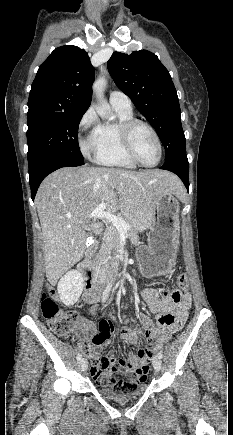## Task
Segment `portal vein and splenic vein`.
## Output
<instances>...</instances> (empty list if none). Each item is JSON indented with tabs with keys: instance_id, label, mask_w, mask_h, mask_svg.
I'll list each match as a JSON object with an SVG mask.
<instances>
[{
	"instance_id": "portal-vein-and-splenic-vein-1",
	"label": "portal vein and splenic vein",
	"mask_w": 233,
	"mask_h": 435,
	"mask_svg": "<svg viewBox=\"0 0 233 435\" xmlns=\"http://www.w3.org/2000/svg\"><path fill=\"white\" fill-rule=\"evenodd\" d=\"M106 207H107V203L105 202L100 203L89 215V218L105 219L109 221L113 226H115L119 232L123 234H127V231L130 229L131 225L121 217H118L110 212H106L105 211Z\"/></svg>"
}]
</instances>
